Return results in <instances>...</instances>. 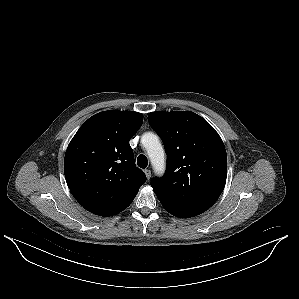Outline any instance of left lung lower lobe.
<instances>
[{
    "instance_id": "1",
    "label": "left lung lower lobe",
    "mask_w": 299,
    "mask_h": 299,
    "mask_svg": "<svg viewBox=\"0 0 299 299\" xmlns=\"http://www.w3.org/2000/svg\"><path fill=\"white\" fill-rule=\"evenodd\" d=\"M164 209L176 217L189 218L205 212L210 207L176 205L159 199Z\"/></svg>"
}]
</instances>
